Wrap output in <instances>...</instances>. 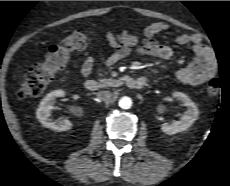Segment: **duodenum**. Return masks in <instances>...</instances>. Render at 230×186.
<instances>
[{
	"label": "duodenum",
	"mask_w": 230,
	"mask_h": 186,
	"mask_svg": "<svg viewBox=\"0 0 230 186\" xmlns=\"http://www.w3.org/2000/svg\"><path fill=\"white\" fill-rule=\"evenodd\" d=\"M123 83L132 90H139L146 85L147 80L143 77L134 78L131 76H124ZM85 88L90 92H97L100 90L101 85L94 79H88L85 82Z\"/></svg>",
	"instance_id": "1"
}]
</instances>
